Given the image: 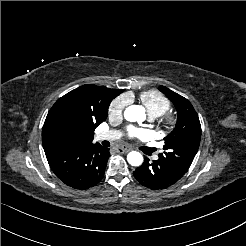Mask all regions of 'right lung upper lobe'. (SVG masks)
Here are the masks:
<instances>
[{
  "mask_svg": "<svg viewBox=\"0 0 246 246\" xmlns=\"http://www.w3.org/2000/svg\"><path fill=\"white\" fill-rule=\"evenodd\" d=\"M123 91L87 84L59 98L43 125V147L64 142H92V130L106 120L110 102Z\"/></svg>",
  "mask_w": 246,
  "mask_h": 246,
  "instance_id": "right-lung-upper-lobe-1",
  "label": "right lung upper lobe"
}]
</instances>
